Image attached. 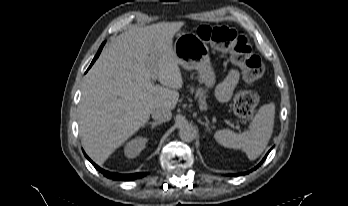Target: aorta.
Listing matches in <instances>:
<instances>
[{
  "label": "aorta",
  "instance_id": "1",
  "mask_svg": "<svg viewBox=\"0 0 348 206\" xmlns=\"http://www.w3.org/2000/svg\"><path fill=\"white\" fill-rule=\"evenodd\" d=\"M179 137L184 142H192L196 137L195 128L188 123L182 124L179 127Z\"/></svg>",
  "mask_w": 348,
  "mask_h": 206
}]
</instances>
